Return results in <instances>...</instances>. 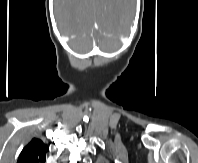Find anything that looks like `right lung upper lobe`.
I'll use <instances>...</instances> for the list:
<instances>
[{
  "label": "right lung upper lobe",
  "instance_id": "right-lung-upper-lobe-1",
  "mask_svg": "<svg viewBox=\"0 0 198 163\" xmlns=\"http://www.w3.org/2000/svg\"><path fill=\"white\" fill-rule=\"evenodd\" d=\"M48 147L39 138H33L23 148L17 163H45Z\"/></svg>",
  "mask_w": 198,
  "mask_h": 163
}]
</instances>
